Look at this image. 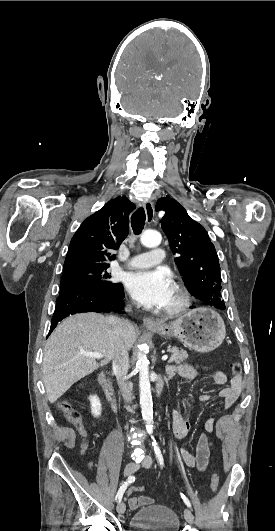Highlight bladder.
<instances>
[{"mask_svg":"<svg viewBox=\"0 0 275 531\" xmlns=\"http://www.w3.org/2000/svg\"><path fill=\"white\" fill-rule=\"evenodd\" d=\"M130 531H178L180 526L175 512L160 504L136 511Z\"/></svg>","mask_w":275,"mask_h":531,"instance_id":"1","label":"bladder"}]
</instances>
